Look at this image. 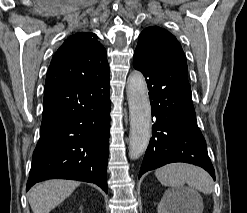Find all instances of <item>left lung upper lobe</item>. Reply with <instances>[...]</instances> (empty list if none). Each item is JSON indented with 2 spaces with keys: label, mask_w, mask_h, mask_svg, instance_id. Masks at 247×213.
I'll use <instances>...</instances> for the list:
<instances>
[{
  "label": "left lung upper lobe",
  "mask_w": 247,
  "mask_h": 213,
  "mask_svg": "<svg viewBox=\"0 0 247 213\" xmlns=\"http://www.w3.org/2000/svg\"><path fill=\"white\" fill-rule=\"evenodd\" d=\"M133 59L138 65L187 66L185 54L177 39L157 26L141 32Z\"/></svg>",
  "instance_id": "1"
}]
</instances>
